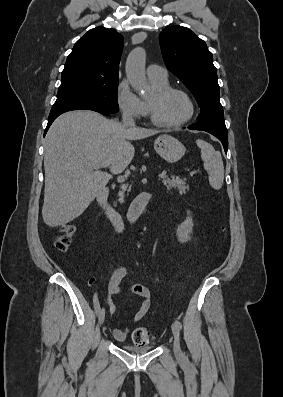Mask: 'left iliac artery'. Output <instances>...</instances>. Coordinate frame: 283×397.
<instances>
[{"instance_id": "1", "label": "left iliac artery", "mask_w": 283, "mask_h": 397, "mask_svg": "<svg viewBox=\"0 0 283 397\" xmlns=\"http://www.w3.org/2000/svg\"><path fill=\"white\" fill-rule=\"evenodd\" d=\"M175 324H176V326L178 327V329L181 330V328H182L181 322L178 321V320H176V321H175Z\"/></svg>"}]
</instances>
